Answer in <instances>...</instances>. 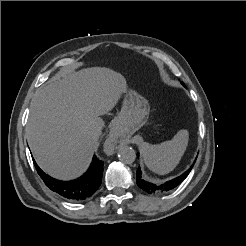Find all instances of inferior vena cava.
Instances as JSON below:
<instances>
[{"mask_svg":"<svg viewBox=\"0 0 246 246\" xmlns=\"http://www.w3.org/2000/svg\"><path fill=\"white\" fill-rule=\"evenodd\" d=\"M101 130H102V126L98 122H95L92 125L91 132L93 135L98 137L101 134Z\"/></svg>","mask_w":246,"mask_h":246,"instance_id":"obj_1","label":"inferior vena cava"}]
</instances>
